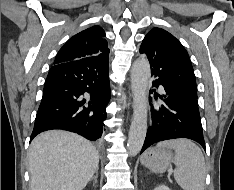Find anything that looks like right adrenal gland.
<instances>
[{"instance_id": "2a0ac1e0", "label": "right adrenal gland", "mask_w": 234, "mask_h": 190, "mask_svg": "<svg viewBox=\"0 0 234 190\" xmlns=\"http://www.w3.org/2000/svg\"><path fill=\"white\" fill-rule=\"evenodd\" d=\"M97 178H98V170L95 172V176L94 177H92V179L91 180H94V184H96L97 183Z\"/></svg>"}]
</instances>
